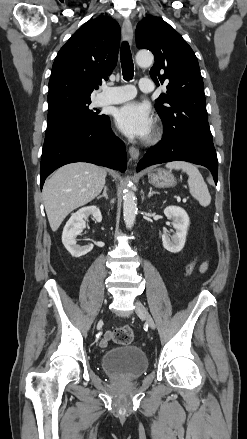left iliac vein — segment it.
Wrapping results in <instances>:
<instances>
[{"instance_id":"4c4485c4","label":"left iliac vein","mask_w":247,"mask_h":439,"mask_svg":"<svg viewBox=\"0 0 247 439\" xmlns=\"http://www.w3.org/2000/svg\"><path fill=\"white\" fill-rule=\"evenodd\" d=\"M135 306L137 315L145 320L151 329H155V322L146 307L140 301H136Z\"/></svg>"}]
</instances>
